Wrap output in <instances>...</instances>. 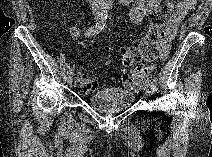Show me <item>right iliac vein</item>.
<instances>
[{"instance_id":"1","label":"right iliac vein","mask_w":212,"mask_h":157,"mask_svg":"<svg viewBox=\"0 0 212 157\" xmlns=\"http://www.w3.org/2000/svg\"><path fill=\"white\" fill-rule=\"evenodd\" d=\"M72 81H73V76H72V74H69L68 77H67V83L71 84Z\"/></svg>"}]
</instances>
